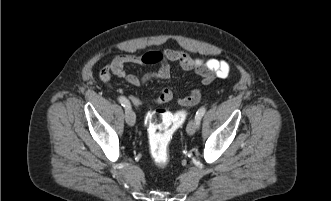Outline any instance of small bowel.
Instances as JSON below:
<instances>
[{"mask_svg":"<svg viewBox=\"0 0 331 201\" xmlns=\"http://www.w3.org/2000/svg\"><path fill=\"white\" fill-rule=\"evenodd\" d=\"M170 63H176L185 71H192L199 75L203 84H209L215 78H226L229 75V64L224 60L192 58L178 50H166L164 53L147 52L145 54L125 53L116 56L102 72L103 80L111 76L124 78L133 86H141L153 80H166L170 77ZM130 64L150 66L159 64L156 72L148 73L143 77L128 73L126 67ZM172 97L170 90L163 88L155 102L162 104L168 102ZM134 105H141L142 100L136 96H130Z\"/></svg>","mask_w":331,"mask_h":201,"instance_id":"c3829d8e","label":"small bowel"}]
</instances>
